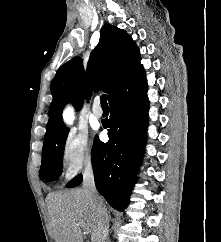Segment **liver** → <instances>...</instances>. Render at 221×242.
Here are the masks:
<instances>
[{
  "label": "liver",
  "mask_w": 221,
  "mask_h": 242,
  "mask_svg": "<svg viewBox=\"0 0 221 242\" xmlns=\"http://www.w3.org/2000/svg\"><path fill=\"white\" fill-rule=\"evenodd\" d=\"M46 200L49 230L55 242H83L82 228L94 239V209L83 189L50 193Z\"/></svg>",
  "instance_id": "6515ba94"
}]
</instances>
